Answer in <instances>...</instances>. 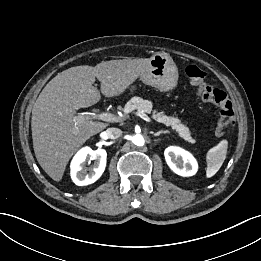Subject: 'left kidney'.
I'll list each match as a JSON object with an SVG mask.
<instances>
[{
    "label": "left kidney",
    "instance_id": "5707ae66",
    "mask_svg": "<svg viewBox=\"0 0 261 261\" xmlns=\"http://www.w3.org/2000/svg\"><path fill=\"white\" fill-rule=\"evenodd\" d=\"M164 156L171 170L180 176H193L198 170L195 158L182 148L168 147L165 149Z\"/></svg>",
    "mask_w": 261,
    "mask_h": 261
}]
</instances>
